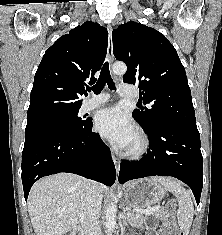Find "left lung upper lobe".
<instances>
[{"mask_svg": "<svg viewBox=\"0 0 222 235\" xmlns=\"http://www.w3.org/2000/svg\"><path fill=\"white\" fill-rule=\"evenodd\" d=\"M112 40L114 56L128 66L123 82L138 85L143 103L151 104L132 113L143 129L177 125L197 130L185 69L173 45L137 22L113 30Z\"/></svg>", "mask_w": 222, "mask_h": 235, "instance_id": "left-lung-upper-lobe-1", "label": "left lung upper lobe"}]
</instances>
